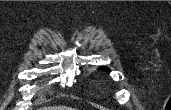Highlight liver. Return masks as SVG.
I'll return each instance as SVG.
<instances>
[{"mask_svg":"<svg viewBox=\"0 0 171 110\" xmlns=\"http://www.w3.org/2000/svg\"><path fill=\"white\" fill-rule=\"evenodd\" d=\"M40 110H75V109L66 106H58V107H43Z\"/></svg>","mask_w":171,"mask_h":110,"instance_id":"liver-1","label":"liver"}]
</instances>
